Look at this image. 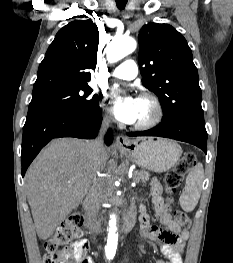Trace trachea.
I'll list each match as a JSON object with an SVG mask.
<instances>
[{
    "instance_id": "trachea-1",
    "label": "trachea",
    "mask_w": 233,
    "mask_h": 263,
    "mask_svg": "<svg viewBox=\"0 0 233 263\" xmlns=\"http://www.w3.org/2000/svg\"><path fill=\"white\" fill-rule=\"evenodd\" d=\"M127 0H116V5L120 10H123L126 6Z\"/></svg>"
}]
</instances>
